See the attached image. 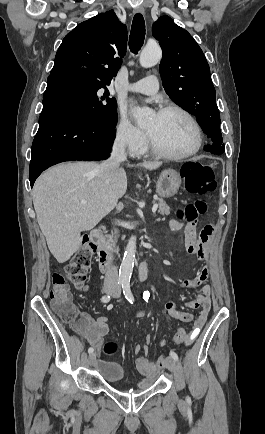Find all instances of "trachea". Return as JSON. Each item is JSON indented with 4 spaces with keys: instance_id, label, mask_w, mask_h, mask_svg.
Masks as SVG:
<instances>
[{
    "instance_id": "obj_1",
    "label": "trachea",
    "mask_w": 265,
    "mask_h": 434,
    "mask_svg": "<svg viewBox=\"0 0 265 434\" xmlns=\"http://www.w3.org/2000/svg\"><path fill=\"white\" fill-rule=\"evenodd\" d=\"M145 38V21L140 13H137L132 22V28L130 32L129 47L130 50L137 54L141 49Z\"/></svg>"
}]
</instances>
